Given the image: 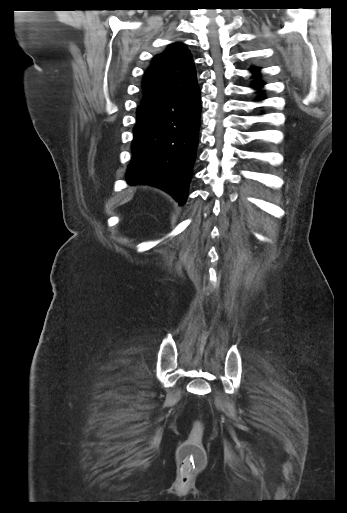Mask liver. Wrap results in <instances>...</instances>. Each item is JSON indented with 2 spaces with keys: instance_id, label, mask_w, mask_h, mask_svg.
I'll return each instance as SVG.
<instances>
[{
  "instance_id": "1",
  "label": "liver",
  "mask_w": 347,
  "mask_h": 513,
  "mask_svg": "<svg viewBox=\"0 0 347 513\" xmlns=\"http://www.w3.org/2000/svg\"><path fill=\"white\" fill-rule=\"evenodd\" d=\"M131 197H132V196H130V197H128L127 199H125V201H124V202H126V201H127V200H129V199H131Z\"/></svg>"
}]
</instances>
